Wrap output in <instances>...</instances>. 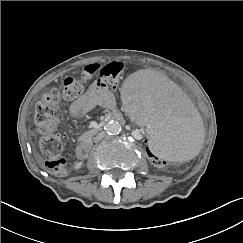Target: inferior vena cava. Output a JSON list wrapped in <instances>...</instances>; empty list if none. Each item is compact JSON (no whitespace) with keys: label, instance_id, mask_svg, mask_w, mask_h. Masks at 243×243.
Masks as SVG:
<instances>
[{"label":"inferior vena cava","instance_id":"602c4592","mask_svg":"<svg viewBox=\"0 0 243 243\" xmlns=\"http://www.w3.org/2000/svg\"><path fill=\"white\" fill-rule=\"evenodd\" d=\"M104 136H105V132H99L94 138V141L97 143L101 141L104 138Z\"/></svg>","mask_w":243,"mask_h":243}]
</instances>
